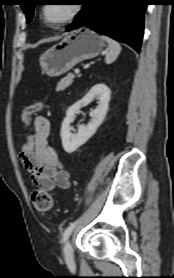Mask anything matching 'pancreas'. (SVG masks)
Masks as SVG:
<instances>
[{
  "instance_id": "1",
  "label": "pancreas",
  "mask_w": 174,
  "mask_h": 278,
  "mask_svg": "<svg viewBox=\"0 0 174 278\" xmlns=\"http://www.w3.org/2000/svg\"><path fill=\"white\" fill-rule=\"evenodd\" d=\"M74 78H75V75L72 73H69L66 77L62 78L58 82L56 90L57 91L65 90L67 87H69L72 84Z\"/></svg>"
}]
</instances>
